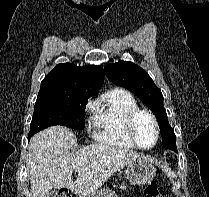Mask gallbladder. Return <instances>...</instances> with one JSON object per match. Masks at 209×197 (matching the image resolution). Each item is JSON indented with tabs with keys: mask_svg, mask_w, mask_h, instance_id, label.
<instances>
[{
	"mask_svg": "<svg viewBox=\"0 0 209 197\" xmlns=\"http://www.w3.org/2000/svg\"><path fill=\"white\" fill-rule=\"evenodd\" d=\"M46 197H57V190H50Z\"/></svg>",
	"mask_w": 209,
	"mask_h": 197,
	"instance_id": "obj_1",
	"label": "gallbladder"
}]
</instances>
